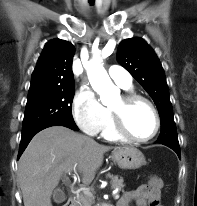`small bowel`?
I'll return each mask as SVG.
<instances>
[{"instance_id": "obj_1", "label": "small bowel", "mask_w": 197, "mask_h": 206, "mask_svg": "<svg viewBox=\"0 0 197 206\" xmlns=\"http://www.w3.org/2000/svg\"><path fill=\"white\" fill-rule=\"evenodd\" d=\"M160 198V187L154 189L150 185H146L124 193L118 206H129L133 201L136 206H161Z\"/></svg>"}]
</instances>
